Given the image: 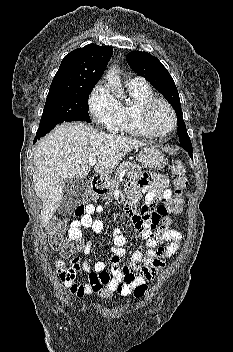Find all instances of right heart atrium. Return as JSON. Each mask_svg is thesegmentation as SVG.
Returning a JSON list of instances; mask_svg holds the SVG:
<instances>
[{
    "label": "right heart atrium",
    "instance_id": "1",
    "mask_svg": "<svg viewBox=\"0 0 233 352\" xmlns=\"http://www.w3.org/2000/svg\"><path fill=\"white\" fill-rule=\"evenodd\" d=\"M88 104L93 119L100 126L111 132L118 130L121 104L105 83L94 87Z\"/></svg>",
    "mask_w": 233,
    "mask_h": 352
}]
</instances>
